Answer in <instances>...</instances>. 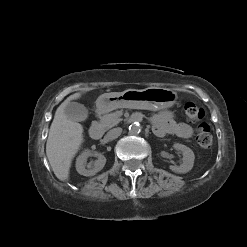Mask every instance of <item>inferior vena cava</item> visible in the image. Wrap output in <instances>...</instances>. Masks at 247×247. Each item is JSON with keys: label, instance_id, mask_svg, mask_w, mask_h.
Segmentation results:
<instances>
[{"label": "inferior vena cava", "instance_id": "inferior-vena-cava-1", "mask_svg": "<svg viewBox=\"0 0 247 247\" xmlns=\"http://www.w3.org/2000/svg\"><path fill=\"white\" fill-rule=\"evenodd\" d=\"M121 133H122V128H120V127L113 128L107 132L106 138L108 140H114V139L118 138L121 135Z\"/></svg>", "mask_w": 247, "mask_h": 247}]
</instances>
